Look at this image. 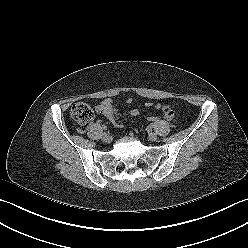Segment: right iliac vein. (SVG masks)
<instances>
[{
	"label": "right iliac vein",
	"mask_w": 248,
	"mask_h": 248,
	"mask_svg": "<svg viewBox=\"0 0 248 248\" xmlns=\"http://www.w3.org/2000/svg\"><path fill=\"white\" fill-rule=\"evenodd\" d=\"M102 141L106 142V143L110 142L111 141V136L108 133H103Z\"/></svg>",
	"instance_id": "63e3f726"
}]
</instances>
